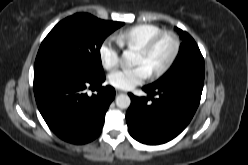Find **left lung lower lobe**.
I'll return each mask as SVG.
<instances>
[{
    "mask_svg": "<svg viewBox=\"0 0 248 165\" xmlns=\"http://www.w3.org/2000/svg\"><path fill=\"white\" fill-rule=\"evenodd\" d=\"M203 82L202 79H190L156 87L144 86L147 98L129 93L131 105L126 121L130 135L149 145L163 144L175 138L191 121L200 102Z\"/></svg>",
    "mask_w": 248,
    "mask_h": 165,
    "instance_id": "0a47b994",
    "label": "left lung lower lobe"
}]
</instances>
